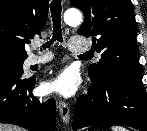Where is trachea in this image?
I'll return each instance as SVG.
<instances>
[{
  "label": "trachea",
  "mask_w": 147,
  "mask_h": 131,
  "mask_svg": "<svg viewBox=\"0 0 147 131\" xmlns=\"http://www.w3.org/2000/svg\"><path fill=\"white\" fill-rule=\"evenodd\" d=\"M50 9L52 13L53 20V37L50 41L43 45V48L50 47L54 41L63 42L62 29H61V0H53L50 4ZM81 57L88 56L87 53L80 55Z\"/></svg>",
  "instance_id": "obj_1"
}]
</instances>
